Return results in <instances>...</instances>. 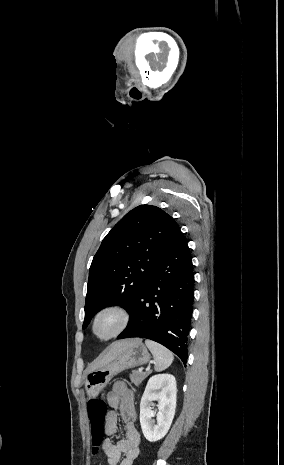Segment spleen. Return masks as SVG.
<instances>
[{
    "label": "spleen",
    "mask_w": 284,
    "mask_h": 465,
    "mask_svg": "<svg viewBox=\"0 0 284 465\" xmlns=\"http://www.w3.org/2000/svg\"><path fill=\"white\" fill-rule=\"evenodd\" d=\"M146 347H148L150 353H152L155 361V371L160 373V371H165L173 363V355L171 351L159 345V343H154V341H145Z\"/></svg>",
    "instance_id": "spleen-1"
}]
</instances>
